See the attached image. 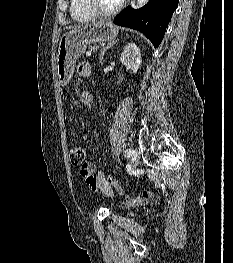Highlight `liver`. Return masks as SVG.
<instances>
[{"label": "liver", "mask_w": 233, "mask_h": 263, "mask_svg": "<svg viewBox=\"0 0 233 263\" xmlns=\"http://www.w3.org/2000/svg\"><path fill=\"white\" fill-rule=\"evenodd\" d=\"M69 28L77 29V28H79V26H72V27H69Z\"/></svg>", "instance_id": "6515ba94"}]
</instances>
